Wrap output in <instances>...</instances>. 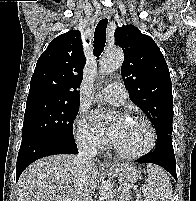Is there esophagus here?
I'll use <instances>...</instances> for the list:
<instances>
[{"label": "esophagus", "mask_w": 196, "mask_h": 201, "mask_svg": "<svg viewBox=\"0 0 196 201\" xmlns=\"http://www.w3.org/2000/svg\"><path fill=\"white\" fill-rule=\"evenodd\" d=\"M102 14L104 17H109L111 15V10L110 9H103ZM107 165L113 164L111 160H107L106 162Z\"/></svg>", "instance_id": "1"}]
</instances>
